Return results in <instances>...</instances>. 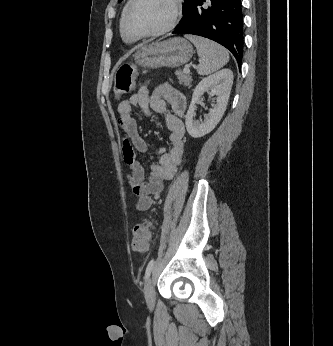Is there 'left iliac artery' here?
Masks as SVG:
<instances>
[{
  "mask_svg": "<svg viewBox=\"0 0 333 346\" xmlns=\"http://www.w3.org/2000/svg\"><path fill=\"white\" fill-rule=\"evenodd\" d=\"M153 267H154V259L152 258L150 260V262L148 263V265H147V268H146V271H145V277H144L145 279H147L150 276Z\"/></svg>",
  "mask_w": 333,
  "mask_h": 346,
  "instance_id": "1",
  "label": "left iliac artery"
}]
</instances>
